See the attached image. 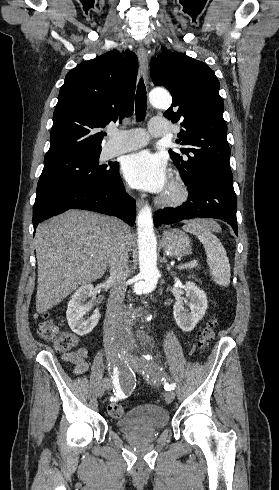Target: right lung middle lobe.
Segmentation results:
<instances>
[{
  "label": "right lung middle lobe",
  "mask_w": 279,
  "mask_h": 490,
  "mask_svg": "<svg viewBox=\"0 0 279 490\" xmlns=\"http://www.w3.org/2000/svg\"><path fill=\"white\" fill-rule=\"evenodd\" d=\"M100 153L45 162L37 190L48 186H65L105 181L118 171V163L99 164Z\"/></svg>",
  "instance_id": "1"
}]
</instances>
